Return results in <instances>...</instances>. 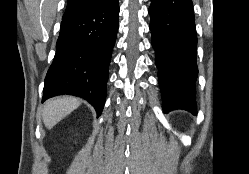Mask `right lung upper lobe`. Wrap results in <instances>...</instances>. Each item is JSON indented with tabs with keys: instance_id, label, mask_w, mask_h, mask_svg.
<instances>
[{
	"instance_id": "obj_1",
	"label": "right lung upper lobe",
	"mask_w": 249,
	"mask_h": 174,
	"mask_svg": "<svg viewBox=\"0 0 249 174\" xmlns=\"http://www.w3.org/2000/svg\"><path fill=\"white\" fill-rule=\"evenodd\" d=\"M106 0H68L65 14L75 12L89 5L104 2Z\"/></svg>"
}]
</instances>
